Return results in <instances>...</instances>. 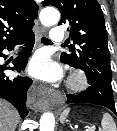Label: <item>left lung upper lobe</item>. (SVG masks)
Here are the masks:
<instances>
[{"mask_svg":"<svg viewBox=\"0 0 117 131\" xmlns=\"http://www.w3.org/2000/svg\"><path fill=\"white\" fill-rule=\"evenodd\" d=\"M42 5L60 10L59 25L70 26L68 33L77 45H72L69 53L63 52L61 61L83 70L91 82L112 90L107 31L97 0H44Z\"/></svg>","mask_w":117,"mask_h":131,"instance_id":"5c2ea615","label":"left lung upper lobe"}]
</instances>
